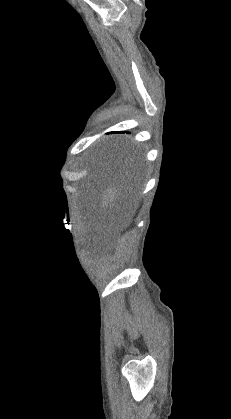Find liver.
<instances>
[{
  "label": "liver",
  "instance_id": "obj_1",
  "mask_svg": "<svg viewBox=\"0 0 231 419\" xmlns=\"http://www.w3.org/2000/svg\"><path fill=\"white\" fill-rule=\"evenodd\" d=\"M120 193L116 187L107 188L101 195L103 206H114L115 200L119 199Z\"/></svg>",
  "mask_w": 231,
  "mask_h": 419
}]
</instances>
